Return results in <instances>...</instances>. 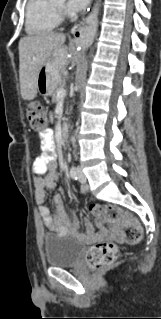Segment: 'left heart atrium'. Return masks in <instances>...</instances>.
Wrapping results in <instances>:
<instances>
[{
    "label": "left heart atrium",
    "mask_w": 161,
    "mask_h": 319,
    "mask_svg": "<svg viewBox=\"0 0 161 319\" xmlns=\"http://www.w3.org/2000/svg\"><path fill=\"white\" fill-rule=\"evenodd\" d=\"M89 3V0H68L66 3V8L70 12H78L84 9Z\"/></svg>",
    "instance_id": "39dd6f15"
}]
</instances>
